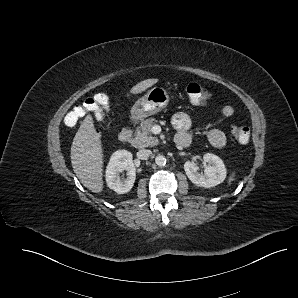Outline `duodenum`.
Here are the masks:
<instances>
[{"instance_id": "duodenum-1", "label": "duodenum", "mask_w": 298, "mask_h": 298, "mask_svg": "<svg viewBox=\"0 0 298 298\" xmlns=\"http://www.w3.org/2000/svg\"><path fill=\"white\" fill-rule=\"evenodd\" d=\"M118 139L122 143H129L132 139V134L129 129H123L119 135ZM174 142L179 147H187L192 142V137L184 132H179L174 137Z\"/></svg>"}]
</instances>
